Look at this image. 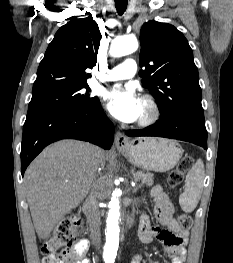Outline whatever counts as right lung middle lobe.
I'll list each match as a JSON object with an SVG mask.
<instances>
[{
	"label": "right lung middle lobe",
	"mask_w": 233,
	"mask_h": 263,
	"mask_svg": "<svg viewBox=\"0 0 233 263\" xmlns=\"http://www.w3.org/2000/svg\"><path fill=\"white\" fill-rule=\"evenodd\" d=\"M84 88L90 91L87 84H82L32 96L26 119L56 112H71L92 106L98 98L89 97V93L83 92Z\"/></svg>",
	"instance_id": "right-lung-middle-lobe-1"
}]
</instances>
